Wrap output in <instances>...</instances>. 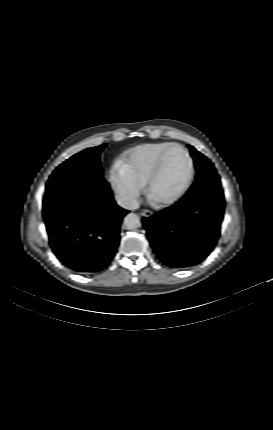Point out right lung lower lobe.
Returning a JSON list of instances; mask_svg holds the SVG:
<instances>
[{"label": "right lung lower lobe", "instance_id": "obj_1", "mask_svg": "<svg viewBox=\"0 0 273 430\" xmlns=\"http://www.w3.org/2000/svg\"><path fill=\"white\" fill-rule=\"evenodd\" d=\"M72 192L43 205L50 246L57 258L80 274L105 269L120 240V225L129 212L116 205L109 184Z\"/></svg>", "mask_w": 273, "mask_h": 430}]
</instances>
